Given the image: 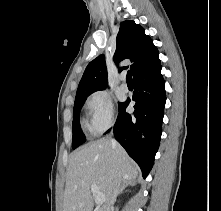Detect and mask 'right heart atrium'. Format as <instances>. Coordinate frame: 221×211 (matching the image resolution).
Returning <instances> with one entry per match:
<instances>
[{
	"label": "right heart atrium",
	"mask_w": 221,
	"mask_h": 211,
	"mask_svg": "<svg viewBox=\"0 0 221 211\" xmlns=\"http://www.w3.org/2000/svg\"><path fill=\"white\" fill-rule=\"evenodd\" d=\"M87 128L93 134H100L114 123V104L104 90L90 94L86 100Z\"/></svg>",
	"instance_id": "1"
}]
</instances>
